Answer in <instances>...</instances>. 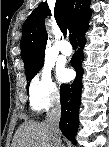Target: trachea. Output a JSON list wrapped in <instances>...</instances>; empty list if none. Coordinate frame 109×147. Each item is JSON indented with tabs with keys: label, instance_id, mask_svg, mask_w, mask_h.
Segmentation results:
<instances>
[{
	"label": "trachea",
	"instance_id": "trachea-1",
	"mask_svg": "<svg viewBox=\"0 0 109 147\" xmlns=\"http://www.w3.org/2000/svg\"><path fill=\"white\" fill-rule=\"evenodd\" d=\"M69 41H70L72 46H77V40H76V35L75 34H70Z\"/></svg>",
	"mask_w": 109,
	"mask_h": 147
}]
</instances>
